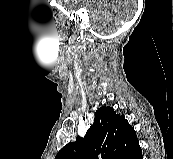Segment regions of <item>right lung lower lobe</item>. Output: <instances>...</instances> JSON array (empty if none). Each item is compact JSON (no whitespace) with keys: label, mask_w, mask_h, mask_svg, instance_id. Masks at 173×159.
<instances>
[{"label":"right lung lower lobe","mask_w":173,"mask_h":159,"mask_svg":"<svg viewBox=\"0 0 173 159\" xmlns=\"http://www.w3.org/2000/svg\"><path fill=\"white\" fill-rule=\"evenodd\" d=\"M128 159H143L141 149H139L137 152L129 156Z\"/></svg>","instance_id":"right-lung-lower-lobe-1"}]
</instances>
